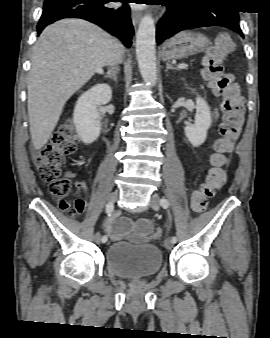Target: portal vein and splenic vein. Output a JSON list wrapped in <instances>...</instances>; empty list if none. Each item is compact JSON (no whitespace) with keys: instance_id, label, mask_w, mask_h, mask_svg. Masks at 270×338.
I'll return each mask as SVG.
<instances>
[{"instance_id":"obj_1","label":"portal vein and splenic vein","mask_w":270,"mask_h":338,"mask_svg":"<svg viewBox=\"0 0 270 338\" xmlns=\"http://www.w3.org/2000/svg\"><path fill=\"white\" fill-rule=\"evenodd\" d=\"M188 67V65L186 63H182L178 65V68L180 69H186Z\"/></svg>"}]
</instances>
